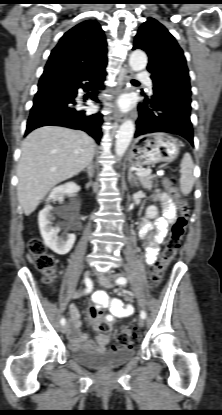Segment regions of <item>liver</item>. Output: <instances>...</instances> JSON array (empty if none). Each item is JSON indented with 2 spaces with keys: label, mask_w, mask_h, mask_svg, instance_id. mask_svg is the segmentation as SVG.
<instances>
[{
  "label": "liver",
  "mask_w": 222,
  "mask_h": 415,
  "mask_svg": "<svg viewBox=\"0 0 222 415\" xmlns=\"http://www.w3.org/2000/svg\"><path fill=\"white\" fill-rule=\"evenodd\" d=\"M95 141L83 131L44 126L23 141L17 168L18 201L26 216L58 183L79 174L94 155Z\"/></svg>",
  "instance_id": "1"
}]
</instances>
